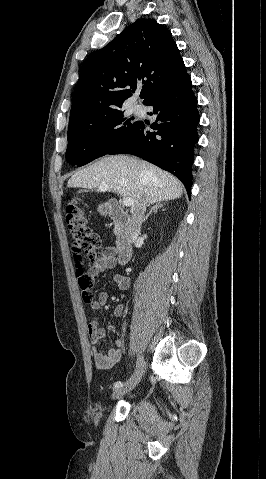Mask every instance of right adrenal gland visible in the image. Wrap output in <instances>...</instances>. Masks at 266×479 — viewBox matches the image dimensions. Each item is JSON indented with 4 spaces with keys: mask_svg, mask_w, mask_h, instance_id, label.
Here are the masks:
<instances>
[{
    "mask_svg": "<svg viewBox=\"0 0 266 479\" xmlns=\"http://www.w3.org/2000/svg\"><path fill=\"white\" fill-rule=\"evenodd\" d=\"M163 207V204L161 202H157L152 208L151 210L149 211V213L144 217L143 221L142 222H145L148 220L150 214L152 213H156L158 211L159 208H162Z\"/></svg>",
    "mask_w": 266,
    "mask_h": 479,
    "instance_id": "obj_1",
    "label": "right adrenal gland"
}]
</instances>
